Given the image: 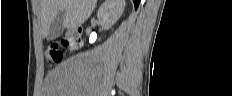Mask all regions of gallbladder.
Here are the masks:
<instances>
[{
	"mask_svg": "<svg viewBox=\"0 0 232 96\" xmlns=\"http://www.w3.org/2000/svg\"><path fill=\"white\" fill-rule=\"evenodd\" d=\"M65 16V11H60L53 19L50 29L47 35V40H53L61 36L63 33V20Z\"/></svg>",
	"mask_w": 232,
	"mask_h": 96,
	"instance_id": "1",
	"label": "gallbladder"
}]
</instances>
